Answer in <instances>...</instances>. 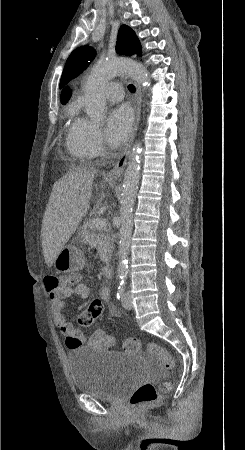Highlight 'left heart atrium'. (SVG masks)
Returning <instances> with one entry per match:
<instances>
[{
    "mask_svg": "<svg viewBox=\"0 0 245 450\" xmlns=\"http://www.w3.org/2000/svg\"><path fill=\"white\" fill-rule=\"evenodd\" d=\"M133 121V110L127 104L119 105L109 112L106 137L111 147H118L127 140Z\"/></svg>",
    "mask_w": 245,
    "mask_h": 450,
    "instance_id": "left-heart-atrium-1",
    "label": "left heart atrium"
}]
</instances>
